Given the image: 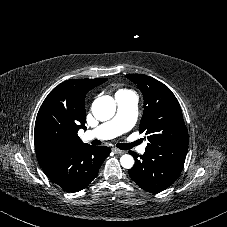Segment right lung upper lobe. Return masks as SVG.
<instances>
[{
  "mask_svg": "<svg viewBox=\"0 0 227 227\" xmlns=\"http://www.w3.org/2000/svg\"><path fill=\"white\" fill-rule=\"evenodd\" d=\"M106 80H68L49 93L38 111L34 130L35 151L40 166L84 145L77 132L81 128L86 129V93ZM48 128L60 131L63 135L51 137Z\"/></svg>",
  "mask_w": 227,
  "mask_h": 227,
  "instance_id": "cb5924a9",
  "label": "right lung upper lobe"
}]
</instances>
